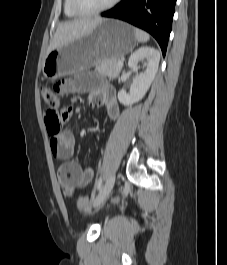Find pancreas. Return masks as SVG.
I'll use <instances>...</instances> for the list:
<instances>
[{
  "mask_svg": "<svg viewBox=\"0 0 227 265\" xmlns=\"http://www.w3.org/2000/svg\"><path fill=\"white\" fill-rule=\"evenodd\" d=\"M95 70L113 79L119 75L121 67L118 66V60H105L97 64Z\"/></svg>",
  "mask_w": 227,
  "mask_h": 265,
  "instance_id": "cf45deb5",
  "label": "pancreas"
}]
</instances>
